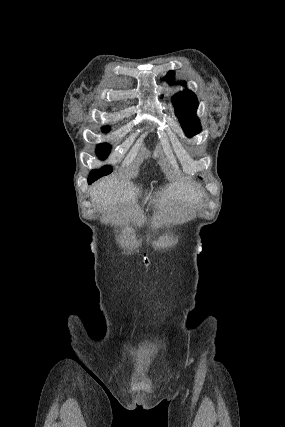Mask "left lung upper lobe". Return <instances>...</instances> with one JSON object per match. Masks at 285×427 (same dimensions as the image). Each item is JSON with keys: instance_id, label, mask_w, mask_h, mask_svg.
<instances>
[{"instance_id": "1", "label": "left lung upper lobe", "mask_w": 285, "mask_h": 427, "mask_svg": "<svg viewBox=\"0 0 285 427\" xmlns=\"http://www.w3.org/2000/svg\"><path fill=\"white\" fill-rule=\"evenodd\" d=\"M174 75L175 73L170 71L165 80L169 84H173ZM184 84L185 83L183 82L182 85ZM172 104L185 134L189 137L198 134L201 131V124L196 116L198 101L195 94L187 89L180 91L173 96Z\"/></svg>"}]
</instances>
